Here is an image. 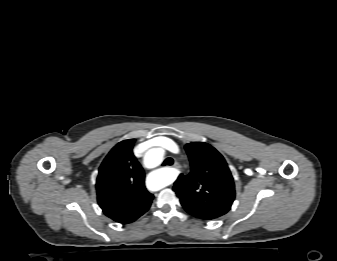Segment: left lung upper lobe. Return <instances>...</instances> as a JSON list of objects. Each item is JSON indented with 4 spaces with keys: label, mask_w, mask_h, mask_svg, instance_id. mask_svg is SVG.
<instances>
[{
    "label": "left lung upper lobe",
    "mask_w": 337,
    "mask_h": 261,
    "mask_svg": "<svg viewBox=\"0 0 337 261\" xmlns=\"http://www.w3.org/2000/svg\"><path fill=\"white\" fill-rule=\"evenodd\" d=\"M191 171L180 175L173 190L190 215L212 220L226 214L235 199L233 177L223 156L211 145L193 142L185 145Z\"/></svg>",
    "instance_id": "left-lung-upper-lobe-1"
}]
</instances>
